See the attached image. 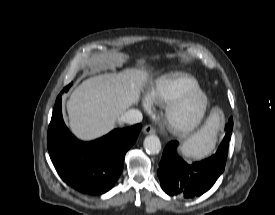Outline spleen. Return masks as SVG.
<instances>
[{
	"label": "spleen",
	"instance_id": "spleen-1",
	"mask_svg": "<svg viewBox=\"0 0 275 215\" xmlns=\"http://www.w3.org/2000/svg\"><path fill=\"white\" fill-rule=\"evenodd\" d=\"M222 114L214 110L205 125L183 144L181 151L186 157L202 158L213 149L216 133L222 122Z\"/></svg>",
	"mask_w": 275,
	"mask_h": 215
}]
</instances>
